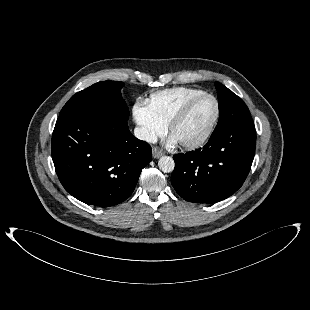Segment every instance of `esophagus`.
I'll use <instances>...</instances> for the list:
<instances>
[{
  "label": "esophagus",
  "instance_id": "obj_1",
  "mask_svg": "<svg viewBox=\"0 0 310 310\" xmlns=\"http://www.w3.org/2000/svg\"><path fill=\"white\" fill-rule=\"evenodd\" d=\"M152 155L155 159H158L163 155V152L160 149H158L157 147H153Z\"/></svg>",
  "mask_w": 310,
  "mask_h": 310
}]
</instances>
